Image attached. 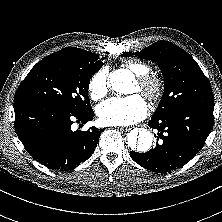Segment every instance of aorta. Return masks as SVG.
Here are the masks:
<instances>
[{
	"label": "aorta",
	"mask_w": 222,
	"mask_h": 222,
	"mask_svg": "<svg viewBox=\"0 0 222 222\" xmlns=\"http://www.w3.org/2000/svg\"><path fill=\"white\" fill-rule=\"evenodd\" d=\"M134 75L127 69H119L109 76L111 88L122 94L132 93V81ZM128 146L136 152H147L153 143L152 133L144 128L131 131L127 136Z\"/></svg>",
	"instance_id": "762f6f07"
}]
</instances>
